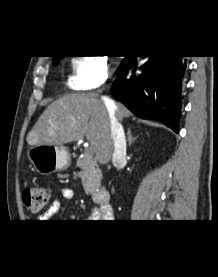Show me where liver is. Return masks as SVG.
<instances>
[{"instance_id":"1","label":"liver","mask_w":218,"mask_h":277,"mask_svg":"<svg viewBox=\"0 0 218 277\" xmlns=\"http://www.w3.org/2000/svg\"><path fill=\"white\" fill-rule=\"evenodd\" d=\"M115 105L120 120L130 116L124 105ZM84 136L90 142L99 163H108L114 145L107 107L95 94L73 93L50 104L28 133L26 140L30 146H59L81 140Z\"/></svg>"}]
</instances>
